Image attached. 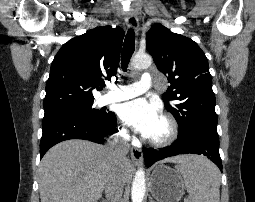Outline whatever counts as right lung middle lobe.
I'll return each mask as SVG.
<instances>
[{
  "label": "right lung middle lobe",
  "mask_w": 255,
  "mask_h": 202,
  "mask_svg": "<svg viewBox=\"0 0 255 202\" xmlns=\"http://www.w3.org/2000/svg\"><path fill=\"white\" fill-rule=\"evenodd\" d=\"M59 115H80V116L89 118L97 123H102L106 121V119L109 116L108 113L93 108V102H92V103L81 104V105L61 109L55 112H51V113L45 114L44 117L59 116Z\"/></svg>",
  "instance_id": "dd1d6c3e"
}]
</instances>
